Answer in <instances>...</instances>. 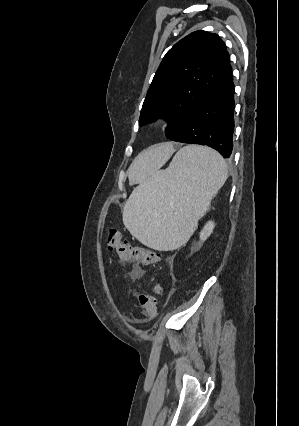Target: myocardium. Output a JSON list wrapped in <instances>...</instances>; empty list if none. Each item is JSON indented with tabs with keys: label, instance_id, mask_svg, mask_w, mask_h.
Masks as SVG:
<instances>
[{
	"label": "myocardium",
	"instance_id": "obj_1",
	"mask_svg": "<svg viewBox=\"0 0 299 426\" xmlns=\"http://www.w3.org/2000/svg\"><path fill=\"white\" fill-rule=\"evenodd\" d=\"M159 124H160L159 122H155V123H153V124H152V127H153V128H156V127H158V126H159Z\"/></svg>",
	"mask_w": 299,
	"mask_h": 426
}]
</instances>
